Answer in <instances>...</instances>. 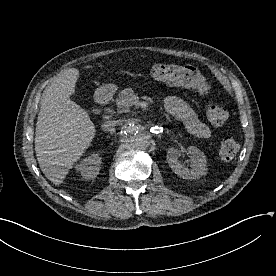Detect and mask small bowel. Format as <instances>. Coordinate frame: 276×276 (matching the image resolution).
I'll return each mask as SVG.
<instances>
[{
    "label": "small bowel",
    "mask_w": 276,
    "mask_h": 276,
    "mask_svg": "<svg viewBox=\"0 0 276 276\" xmlns=\"http://www.w3.org/2000/svg\"><path fill=\"white\" fill-rule=\"evenodd\" d=\"M165 108L170 115L182 122L185 128L193 135L208 138L211 129L202 122L189 104L178 96H169L165 100Z\"/></svg>",
    "instance_id": "obj_1"
}]
</instances>
